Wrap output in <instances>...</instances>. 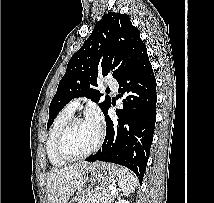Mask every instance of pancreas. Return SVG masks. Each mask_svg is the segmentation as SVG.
I'll use <instances>...</instances> for the list:
<instances>
[{
    "mask_svg": "<svg viewBox=\"0 0 214 203\" xmlns=\"http://www.w3.org/2000/svg\"><path fill=\"white\" fill-rule=\"evenodd\" d=\"M94 197H95V194H91L88 197L79 200L77 203H95L93 201ZM113 198L114 197H113V195L111 193V190H108L107 192H105L102 195V197L100 199V203H111V201L113 200Z\"/></svg>",
    "mask_w": 214,
    "mask_h": 203,
    "instance_id": "1",
    "label": "pancreas"
}]
</instances>
